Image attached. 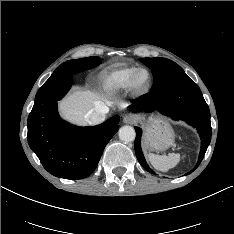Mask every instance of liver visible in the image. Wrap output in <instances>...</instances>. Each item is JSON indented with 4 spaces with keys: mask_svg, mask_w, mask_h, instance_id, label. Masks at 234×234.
<instances>
[{
    "mask_svg": "<svg viewBox=\"0 0 234 234\" xmlns=\"http://www.w3.org/2000/svg\"><path fill=\"white\" fill-rule=\"evenodd\" d=\"M101 102L108 106L112 105L111 101L105 97H100L97 93L89 90H75L59 103V110L66 120L85 124L86 113L95 109L97 104ZM122 107H125V105H122Z\"/></svg>",
    "mask_w": 234,
    "mask_h": 234,
    "instance_id": "1",
    "label": "liver"
}]
</instances>
